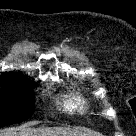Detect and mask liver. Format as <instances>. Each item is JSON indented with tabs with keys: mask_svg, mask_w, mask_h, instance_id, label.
Listing matches in <instances>:
<instances>
[{
	"mask_svg": "<svg viewBox=\"0 0 136 136\" xmlns=\"http://www.w3.org/2000/svg\"><path fill=\"white\" fill-rule=\"evenodd\" d=\"M0 136H88V134L65 127L24 128L18 133L7 131Z\"/></svg>",
	"mask_w": 136,
	"mask_h": 136,
	"instance_id": "6515ba94",
	"label": "liver"
}]
</instances>
